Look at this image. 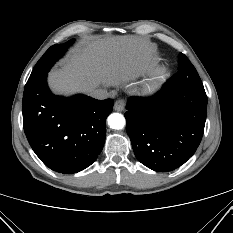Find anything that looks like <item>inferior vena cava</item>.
I'll return each mask as SVG.
<instances>
[{"mask_svg":"<svg viewBox=\"0 0 233 233\" xmlns=\"http://www.w3.org/2000/svg\"><path fill=\"white\" fill-rule=\"evenodd\" d=\"M91 96L95 99L103 100L108 98L109 93L105 89H97L91 93Z\"/></svg>","mask_w":233,"mask_h":233,"instance_id":"1","label":"inferior vena cava"}]
</instances>
